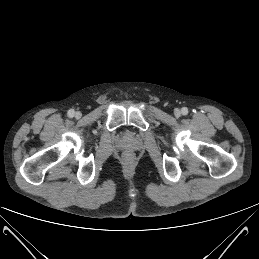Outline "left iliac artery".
<instances>
[{"label": "left iliac artery", "instance_id": "1", "mask_svg": "<svg viewBox=\"0 0 259 259\" xmlns=\"http://www.w3.org/2000/svg\"><path fill=\"white\" fill-rule=\"evenodd\" d=\"M181 111H182V114H183V115H187V114H188V109H187L186 107H183V108L181 109Z\"/></svg>", "mask_w": 259, "mask_h": 259}]
</instances>
